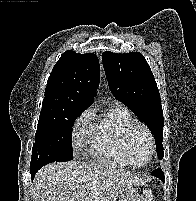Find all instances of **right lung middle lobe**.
<instances>
[{
    "label": "right lung middle lobe",
    "instance_id": "right-lung-middle-lobe-1",
    "mask_svg": "<svg viewBox=\"0 0 196 201\" xmlns=\"http://www.w3.org/2000/svg\"><path fill=\"white\" fill-rule=\"evenodd\" d=\"M83 111L72 109L60 114H40L30 169L38 170L54 161L72 160V125Z\"/></svg>",
    "mask_w": 196,
    "mask_h": 201
}]
</instances>
